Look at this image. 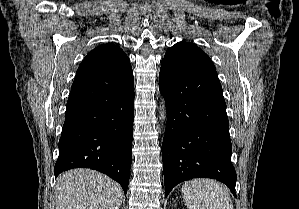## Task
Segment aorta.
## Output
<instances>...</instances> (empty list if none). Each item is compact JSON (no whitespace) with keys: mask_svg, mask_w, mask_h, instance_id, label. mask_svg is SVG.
<instances>
[{"mask_svg":"<svg viewBox=\"0 0 299 209\" xmlns=\"http://www.w3.org/2000/svg\"><path fill=\"white\" fill-rule=\"evenodd\" d=\"M160 118L165 120L166 119V110H165V101L164 99H161V105H160Z\"/></svg>","mask_w":299,"mask_h":209,"instance_id":"obj_1","label":"aorta"}]
</instances>
